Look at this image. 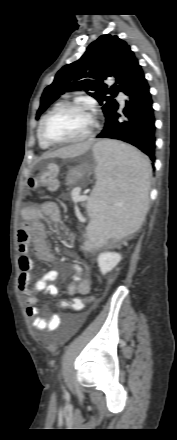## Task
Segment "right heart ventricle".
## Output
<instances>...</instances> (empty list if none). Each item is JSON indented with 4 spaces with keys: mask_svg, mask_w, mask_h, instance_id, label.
<instances>
[{
    "mask_svg": "<svg viewBox=\"0 0 177 440\" xmlns=\"http://www.w3.org/2000/svg\"><path fill=\"white\" fill-rule=\"evenodd\" d=\"M65 102H66V99H64V98H63V99H60V100H58V101H56V102L50 107V109L46 112V114L43 116V118H42L41 121H40V124H39V127H38V140H39V144H40V146H41L43 149H47V148H49L51 145L48 144L47 142H45V141L42 139V137L40 136V126H41V123H42L43 119L46 117V115H47L51 110H53L55 107H57V106H59V105L65 103Z\"/></svg>",
    "mask_w": 177,
    "mask_h": 440,
    "instance_id": "right-heart-ventricle-1",
    "label": "right heart ventricle"
}]
</instances>
